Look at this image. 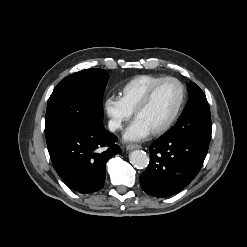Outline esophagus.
Masks as SVG:
<instances>
[{
  "label": "esophagus",
  "mask_w": 247,
  "mask_h": 247,
  "mask_svg": "<svg viewBox=\"0 0 247 247\" xmlns=\"http://www.w3.org/2000/svg\"><path fill=\"white\" fill-rule=\"evenodd\" d=\"M138 148H141V146L138 145V144H128V145H126V149L127 150H133V149H138Z\"/></svg>",
  "instance_id": "1"
}]
</instances>
